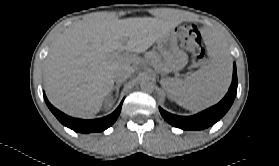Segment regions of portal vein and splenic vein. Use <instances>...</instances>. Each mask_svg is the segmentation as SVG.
Listing matches in <instances>:
<instances>
[{"mask_svg": "<svg viewBox=\"0 0 279 166\" xmlns=\"http://www.w3.org/2000/svg\"><path fill=\"white\" fill-rule=\"evenodd\" d=\"M111 58L113 60H126V56L124 55H121L119 52H114L112 55H111Z\"/></svg>", "mask_w": 279, "mask_h": 166, "instance_id": "18ae733b", "label": "portal vein and splenic vein"}]
</instances>
